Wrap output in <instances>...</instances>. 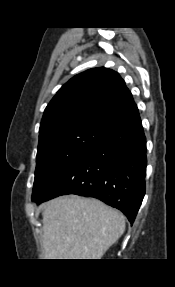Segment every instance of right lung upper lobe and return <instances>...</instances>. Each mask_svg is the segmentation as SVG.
Here are the masks:
<instances>
[{"instance_id": "1", "label": "right lung upper lobe", "mask_w": 175, "mask_h": 287, "mask_svg": "<svg viewBox=\"0 0 175 287\" xmlns=\"http://www.w3.org/2000/svg\"><path fill=\"white\" fill-rule=\"evenodd\" d=\"M138 113L120 75L107 68L84 71L64 84L47 105L40 135L65 124L101 122L115 126Z\"/></svg>"}]
</instances>
